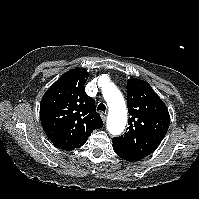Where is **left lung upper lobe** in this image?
<instances>
[{
    "mask_svg": "<svg viewBox=\"0 0 199 199\" xmlns=\"http://www.w3.org/2000/svg\"><path fill=\"white\" fill-rule=\"evenodd\" d=\"M129 121L126 134L112 139L123 148L146 157L161 143L170 123L165 103L140 79L127 80Z\"/></svg>",
    "mask_w": 199,
    "mask_h": 199,
    "instance_id": "left-lung-upper-lobe-1",
    "label": "left lung upper lobe"
}]
</instances>
